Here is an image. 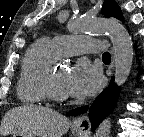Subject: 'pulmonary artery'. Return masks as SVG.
Here are the masks:
<instances>
[{"mask_svg": "<svg viewBox=\"0 0 144 137\" xmlns=\"http://www.w3.org/2000/svg\"><path fill=\"white\" fill-rule=\"evenodd\" d=\"M52 43L58 56L99 53L105 45L98 39L73 35L57 36L53 38Z\"/></svg>", "mask_w": 144, "mask_h": 137, "instance_id": "e3ab8cb5", "label": "pulmonary artery"}]
</instances>
